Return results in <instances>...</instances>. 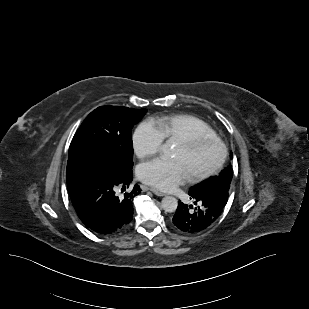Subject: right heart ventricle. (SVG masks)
<instances>
[{
    "label": "right heart ventricle",
    "instance_id": "1",
    "mask_svg": "<svg viewBox=\"0 0 309 309\" xmlns=\"http://www.w3.org/2000/svg\"><path fill=\"white\" fill-rule=\"evenodd\" d=\"M165 139L182 140L195 135L216 136L202 119L189 114H176L155 121Z\"/></svg>",
    "mask_w": 309,
    "mask_h": 309
}]
</instances>
